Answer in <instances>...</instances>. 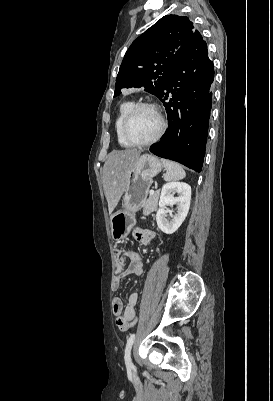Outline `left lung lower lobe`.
<instances>
[{
    "label": "left lung lower lobe",
    "instance_id": "0a47b994",
    "mask_svg": "<svg viewBox=\"0 0 273 401\" xmlns=\"http://www.w3.org/2000/svg\"><path fill=\"white\" fill-rule=\"evenodd\" d=\"M213 62L200 38L176 64L164 93L159 97L168 116V129L150 147L157 156L177 161L201 172L212 106ZM169 94L171 98L169 102Z\"/></svg>",
    "mask_w": 273,
    "mask_h": 401
}]
</instances>
